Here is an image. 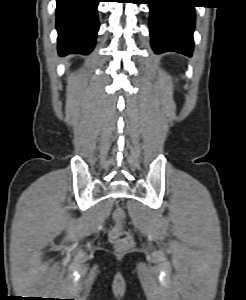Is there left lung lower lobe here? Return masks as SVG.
Listing matches in <instances>:
<instances>
[{"label":"left lung lower lobe","instance_id":"left-lung-lower-lobe-1","mask_svg":"<svg viewBox=\"0 0 246 300\" xmlns=\"http://www.w3.org/2000/svg\"><path fill=\"white\" fill-rule=\"evenodd\" d=\"M151 45L155 53L193 51L195 12L191 0H148Z\"/></svg>","mask_w":246,"mask_h":300}]
</instances>
